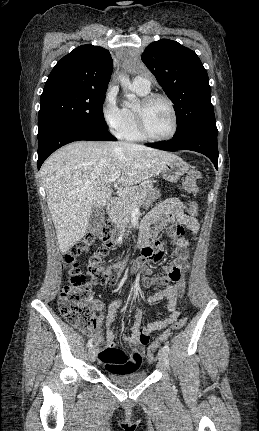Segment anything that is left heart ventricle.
<instances>
[{
    "label": "left heart ventricle",
    "mask_w": 259,
    "mask_h": 431,
    "mask_svg": "<svg viewBox=\"0 0 259 431\" xmlns=\"http://www.w3.org/2000/svg\"><path fill=\"white\" fill-rule=\"evenodd\" d=\"M146 124L151 135L161 137L169 134L173 119L169 106L163 100L153 101L146 109Z\"/></svg>",
    "instance_id": "obj_1"
}]
</instances>
